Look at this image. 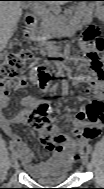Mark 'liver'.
<instances>
[{"mask_svg": "<svg viewBox=\"0 0 104 189\" xmlns=\"http://www.w3.org/2000/svg\"><path fill=\"white\" fill-rule=\"evenodd\" d=\"M52 5H61L62 1H50ZM22 2L1 1L0 3V48L4 49L12 37L16 24L22 15Z\"/></svg>", "mask_w": 104, "mask_h": 189, "instance_id": "obj_1", "label": "liver"}]
</instances>
